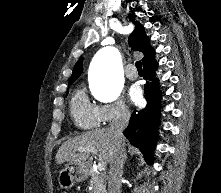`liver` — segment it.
<instances>
[{
  "instance_id": "liver-1",
  "label": "liver",
  "mask_w": 221,
  "mask_h": 193,
  "mask_svg": "<svg viewBox=\"0 0 221 193\" xmlns=\"http://www.w3.org/2000/svg\"><path fill=\"white\" fill-rule=\"evenodd\" d=\"M125 144V139H123ZM80 148H95L99 151V159L105 164H110L115 153L114 134L110 128H103L86 132L80 136L64 142L56 154V164H78L85 166L90 156L88 151H79Z\"/></svg>"
}]
</instances>
